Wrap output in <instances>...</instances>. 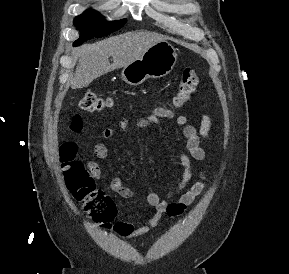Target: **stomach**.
Returning a JSON list of instances; mask_svg holds the SVG:
<instances>
[{
	"label": "stomach",
	"mask_w": 289,
	"mask_h": 274,
	"mask_svg": "<svg viewBox=\"0 0 289 274\" xmlns=\"http://www.w3.org/2000/svg\"><path fill=\"white\" fill-rule=\"evenodd\" d=\"M177 62L175 48L162 40L152 45L138 59L123 67L121 78L129 85L137 86L148 78L168 75Z\"/></svg>",
	"instance_id": "obj_1"
}]
</instances>
